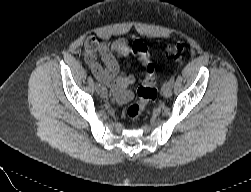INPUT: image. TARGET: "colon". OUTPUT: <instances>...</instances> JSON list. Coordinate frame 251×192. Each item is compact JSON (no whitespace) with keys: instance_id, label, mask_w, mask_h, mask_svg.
<instances>
[{"instance_id":"1","label":"colon","mask_w":251,"mask_h":192,"mask_svg":"<svg viewBox=\"0 0 251 192\" xmlns=\"http://www.w3.org/2000/svg\"><path fill=\"white\" fill-rule=\"evenodd\" d=\"M185 48L182 44L168 46L166 54L172 55L175 59L182 58ZM158 90L155 81V70L152 64L143 69V79L137 89V100L130 104L125 110V116L130 122H136L144 112L146 106L157 98Z\"/></svg>"}]
</instances>
